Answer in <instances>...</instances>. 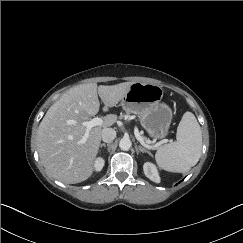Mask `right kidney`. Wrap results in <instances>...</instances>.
<instances>
[{
	"label": "right kidney",
	"instance_id": "ca27d5eb",
	"mask_svg": "<svg viewBox=\"0 0 243 243\" xmlns=\"http://www.w3.org/2000/svg\"><path fill=\"white\" fill-rule=\"evenodd\" d=\"M104 164H105V161L103 158H100V157L97 158L94 162L95 171L100 172L103 169Z\"/></svg>",
	"mask_w": 243,
	"mask_h": 243
}]
</instances>
